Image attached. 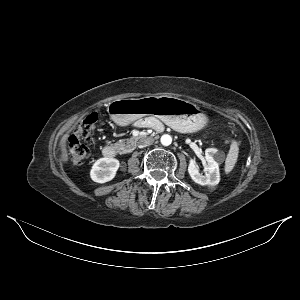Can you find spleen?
Segmentation results:
<instances>
[{
	"label": "spleen",
	"instance_id": "1",
	"mask_svg": "<svg viewBox=\"0 0 300 300\" xmlns=\"http://www.w3.org/2000/svg\"><path fill=\"white\" fill-rule=\"evenodd\" d=\"M238 153H239L238 143L236 141H232L225 161L224 170L226 174L230 173L233 170L238 159Z\"/></svg>",
	"mask_w": 300,
	"mask_h": 300
}]
</instances>
